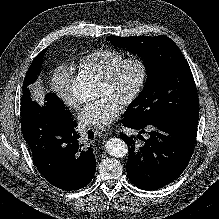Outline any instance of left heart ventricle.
Returning <instances> with one entry per match:
<instances>
[{"instance_id":"left-heart-ventricle-1","label":"left heart ventricle","mask_w":219,"mask_h":219,"mask_svg":"<svg viewBox=\"0 0 219 219\" xmlns=\"http://www.w3.org/2000/svg\"><path fill=\"white\" fill-rule=\"evenodd\" d=\"M139 70L136 65H127L122 69L116 80L108 85L100 81L99 97L110 95L119 103L131 93L138 80Z\"/></svg>"}]
</instances>
